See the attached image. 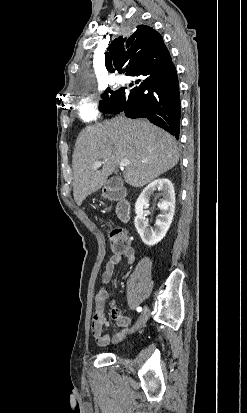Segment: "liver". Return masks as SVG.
I'll return each instance as SVG.
<instances>
[{
	"label": "liver",
	"mask_w": 247,
	"mask_h": 413,
	"mask_svg": "<svg viewBox=\"0 0 247 413\" xmlns=\"http://www.w3.org/2000/svg\"><path fill=\"white\" fill-rule=\"evenodd\" d=\"M102 160L101 170L94 166ZM120 160L125 182L144 186L179 160L177 142L169 132L146 118L115 116L104 122L88 124L78 134L72 158L73 194L78 207L82 200L104 186Z\"/></svg>",
	"instance_id": "1"
}]
</instances>
